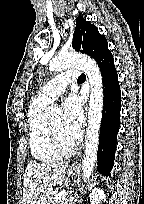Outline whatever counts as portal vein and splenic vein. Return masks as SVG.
Returning <instances> with one entry per match:
<instances>
[{
  "mask_svg": "<svg viewBox=\"0 0 144 204\" xmlns=\"http://www.w3.org/2000/svg\"><path fill=\"white\" fill-rule=\"evenodd\" d=\"M68 194V192H66L65 190L61 191L58 193V195L56 196V198L61 199L64 198L66 195Z\"/></svg>",
  "mask_w": 144,
  "mask_h": 204,
  "instance_id": "1",
  "label": "portal vein and splenic vein"
}]
</instances>
